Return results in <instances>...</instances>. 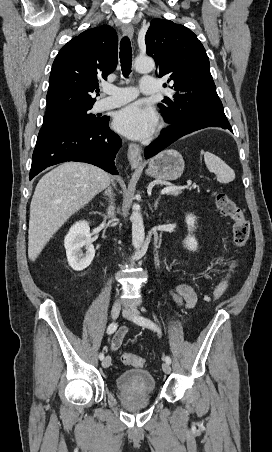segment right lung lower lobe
<instances>
[{
  "label": "right lung lower lobe",
  "mask_w": 272,
  "mask_h": 452,
  "mask_svg": "<svg viewBox=\"0 0 272 452\" xmlns=\"http://www.w3.org/2000/svg\"><path fill=\"white\" fill-rule=\"evenodd\" d=\"M108 123L109 117H102L92 124L43 123L33 152L29 179L49 166L66 161L90 163L118 175L114 159L122 141L110 130Z\"/></svg>",
  "instance_id": "98d812e1"
}]
</instances>
